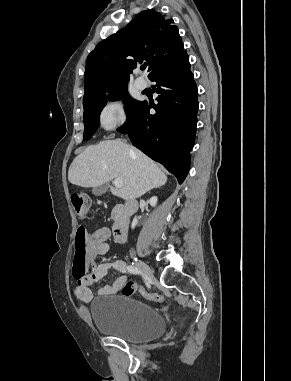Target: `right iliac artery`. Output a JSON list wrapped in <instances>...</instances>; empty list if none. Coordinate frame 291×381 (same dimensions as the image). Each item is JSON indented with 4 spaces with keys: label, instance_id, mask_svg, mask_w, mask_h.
I'll use <instances>...</instances> for the list:
<instances>
[{
    "label": "right iliac artery",
    "instance_id": "82829eb1",
    "mask_svg": "<svg viewBox=\"0 0 291 381\" xmlns=\"http://www.w3.org/2000/svg\"><path fill=\"white\" fill-rule=\"evenodd\" d=\"M127 270H128V272H130L132 274H139L140 273L139 268L134 266L133 263L131 265L127 266Z\"/></svg>",
    "mask_w": 291,
    "mask_h": 381
}]
</instances>
